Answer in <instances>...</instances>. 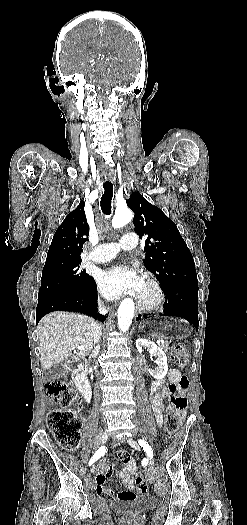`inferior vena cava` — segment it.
<instances>
[{
	"label": "inferior vena cava",
	"instance_id": "inferior-vena-cava-1",
	"mask_svg": "<svg viewBox=\"0 0 247 525\" xmlns=\"http://www.w3.org/2000/svg\"><path fill=\"white\" fill-rule=\"evenodd\" d=\"M98 313L99 315H107L108 311H107V307H105V305H102V303H100V305H98ZM101 335H102V325H95V329H94V333H93V341H94V351L101 339Z\"/></svg>",
	"mask_w": 247,
	"mask_h": 525
}]
</instances>
